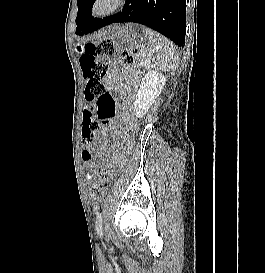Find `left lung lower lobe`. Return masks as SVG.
<instances>
[{"label":"left lung lower lobe","mask_w":265,"mask_h":273,"mask_svg":"<svg viewBox=\"0 0 265 273\" xmlns=\"http://www.w3.org/2000/svg\"><path fill=\"white\" fill-rule=\"evenodd\" d=\"M186 0H126L123 10L107 18L96 19L89 14L77 35L92 33L106 25L135 22L146 25L183 47L186 33Z\"/></svg>","instance_id":"obj_1"}]
</instances>
